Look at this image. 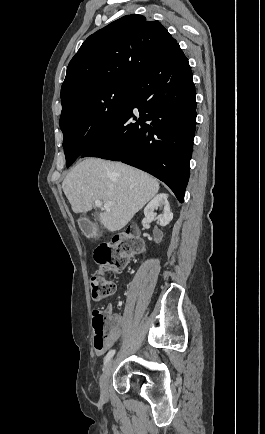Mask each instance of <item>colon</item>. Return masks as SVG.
Returning <instances> with one entry per match:
<instances>
[{"mask_svg":"<svg viewBox=\"0 0 265 434\" xmlns=\"http://www.w3.org/2000/svg\"><path fill=\"white\" fill-rule=\"evenodd\" d=\"M93 261L100 269L98 274L90 278L89 285L92 300L99 303L112 296L116 290V283L107 278L106 273H111V271L120 273L126 265L127 258L120 252L114 253L110 248H103L100 252L93 254ZM105 319V315L98 308H95L92 316L91 333L94 335L96 347H105L107 343L104 333L107 328Z\"/></svg>","mask_w":265,"mask_h":434,"instance_id":"obj_1","label":"colon"}]
</instances>
